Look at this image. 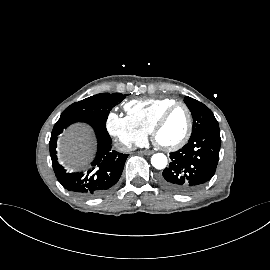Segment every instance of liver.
<instances>
[{
  "mask_svg": "<svg viewBox=\"0 0 270 270\" xmlns=\"http://www.w3.org/2000/svg\"><path fill=\"white\" fill-rule=\"evenodd\" d=\"M94 136L84 124H75L59 138L58 149L61 159L76 168L85 166L94 151Z\"/></svg>",
  "mask_w": 270,
  "mask_h": 270,
  "instance_id": "6515ba94",
  "label": "liver"
}]
</instances>
